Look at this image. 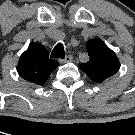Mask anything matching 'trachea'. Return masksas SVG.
I'll return each mask as SVG.
<instances>
[{"mask_svg": "<svg viewBox=\"0 0 135 135\" xmlns=\"http://www.w3.org/2000/svg\"><path fill=\"white\" fill-rule=\"evenodd\" d=\"M52 58H65V50L63 44L59 43L57 44L52 53H51Z\"/></svg>", "mask_w": 135, "mask_h": 135, "instance_id": "1", "label": "trachea"}]
</instances>
